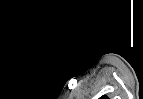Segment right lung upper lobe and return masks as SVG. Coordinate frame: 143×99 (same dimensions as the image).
<instances>
[{
    "label": "right lung upper lobe",
    "mask_w": 143,
    "mask_h": 99,
    "mask_svg": "<svg viewBox=\"0 0 143 99\" xmlns=\"http://www.w3.org/2000/svg\"><path fill=\"white\" fill-rule=\"evenodd\" d=\"M100 99H108V97L107 96H102V97H100Z\"/></svg>",
    "instance_id": "obj_1"
}]
</instances>
